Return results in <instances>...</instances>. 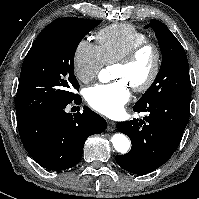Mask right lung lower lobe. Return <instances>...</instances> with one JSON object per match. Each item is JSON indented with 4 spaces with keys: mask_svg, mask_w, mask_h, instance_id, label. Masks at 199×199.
Here are the masks:
<instances>
[{
    "mask_svg": "<svg viewBox=\"0 0 199 199\" xmlns=\"http://www.w3.org/2000/svg\"><path fill=\"white\" fill-rule=\"evenodd\" d=\"M79 97L74 103L80 101ZM65 106L37 113L18 130L24 148L42 167L59 171L75 166L81 159L86 139L100 134L106 120L84 107L82 113H66Z\"/></svg>",
    "mask_w": 199,
    "mask_h": 199,
    "instance_id": "1",
    "label": "right lung lower lobe"
}]
</instances>
